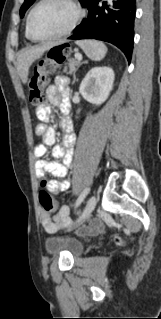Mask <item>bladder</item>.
<instances>
[{"mask_svg": "<svg viewBox=\"0 0 161 319\" xmlns=\"http://www.w3.org/2000/svg\"><path fill=\"white\" fill-rule=\"evenodd\" d=\"M46 247L53 254L66 253L76 257L84 252L83 242L76 238L50 236L46 239Z\"/></svg>", "mask_w": 161, "mask_h": 319, "instance_id": "bladder-1", "label": "bladder"}]
</instances>
